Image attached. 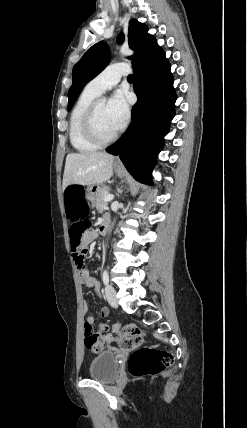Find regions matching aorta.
<instances>
[{
    "label": "aorta",
    "instance_id": "1",
    "mask_svg": "<svg viewBox=\"0 0 247 428\" xmlns=\"http://www.w3.org/2000/svg\"><path fill=\"white\" fill-rule=\"evenodd\" d=\"M127 54H128V55H131V54H132V52H131V51H128V52H127Z\"/></svg>",
    "mask_w": 247,
    "mask_h": 428
}]
</instances>
